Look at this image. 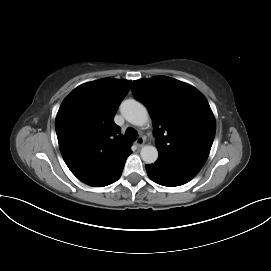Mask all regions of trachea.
I'll use <instances>...</instances> for the list:
<instances>
[{"label": "trachea", "instance_id": "obj_1", "mask_svg": "<svg viewBox=\"0 0 271 271\" xmlns=\"http://www.w3.org/2000/svg\"><path fill=\"white\" fill-rule=\"evenodd\" d=\"M125 135L129 141H135L138 137V132L133 128H128L125 132Z\"/></svg>", "mask_w": 271, "mask_h": 271}]
</instances>
